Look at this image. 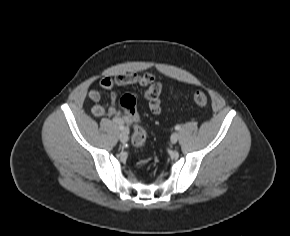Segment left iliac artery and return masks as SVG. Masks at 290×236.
<instances>
[{"mask_svg":"<svg viewBox=\"0 0 290 236\" xmlns=\"http://www.w3.org/2000/svg\"><path fill=\"white\" fill-rule=\"evenodd\" d=\"M180 128H181L180 125H176V126H175V129H176V130H180Z\"/></svg>","mask_w":290,"mask_h":236,"instance_id":"obj_1","label":"left iliac artery"}]
</instances>
